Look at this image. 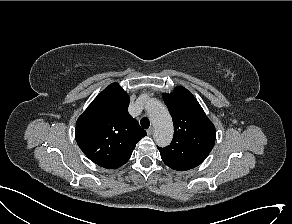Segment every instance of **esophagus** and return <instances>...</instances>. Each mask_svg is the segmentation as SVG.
Returning <instances> with one entry per match:
<instances>
[{"mask_svg": "<svg viewBox=\"0 0 292 224\" xmlns=\"http://www.w3.org/2000/svg\"><path fill=\"white\" fill-rule=\"evenodd\" d=\"M153 131H154V128H153V127H150V128L147 130V134H148V135H152V134H153Z\"/></svg>", "mask_w": 292, "mask_h": 224, "instance_id": "1", "label": "esophagus"}]
</instances>
